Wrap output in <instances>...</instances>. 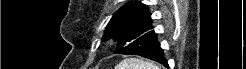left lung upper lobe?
<instances>
[{"label":"left lung upper lobe","mask_w":246,"mask_h":69,"mask_svg":"<svg viewBox=\"0 0 246 69\" xmlns=\"http://www.w3.org/2000/svg\"><path fill=\"white\" fill-rule=\"evenodd\" d=\"M152 23L147 5L137 1L129 2L113 15L104 35L118 40L117 47L120 49L150 31L153 28Z\"/></svg>","instance_id":"left-lung-upper-lobe-1"}]
</instances>
